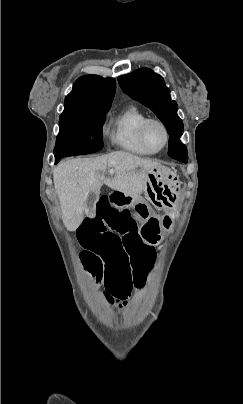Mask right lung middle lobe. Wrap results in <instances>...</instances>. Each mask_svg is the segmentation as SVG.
<instances>
[{"mask_svg": "<svg viewBox=\"0 0 243 404\" xmlns=\"http://www.w3.org/2000/svg\"><path fill=\"white\" fill-rule=\"evenodd\" d=\"M110 107L95 111H71L60 115V131L54 149L55 163L67 156L95 153L103 148L102 125Z\"/></svg>", "mask_w": 243, "mask_h": 404, "instance_id": "dd1d6c3e", "label": "right lung middle lobe"}]
</instances>
